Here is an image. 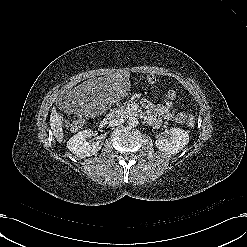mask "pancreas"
Returning <instances> with one entry per match:
<instances>
[{
	"mask_svg": "<svg viewBox=\"0 0 247 247\" xmlns=\"http://www.w3.org/2000/svg\"><path fill=\"white\" fill-rule=\"evenodd\" d=\"M117 110L120 111L122 114H128L132 112L129 106H120Z\"/></svg>",
	"mask_w": 247,
	"mask_h": 247,
	"instance_id": "cf45deb5",
	"label": "pancreas"
}]
</instances>
